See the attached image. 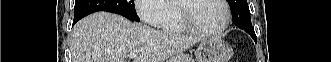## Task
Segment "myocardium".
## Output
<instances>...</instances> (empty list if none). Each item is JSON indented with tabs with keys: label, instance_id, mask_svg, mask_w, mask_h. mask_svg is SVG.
Returning a JSON list of instances; mask_svg holds the SVG:
<instances>
[{
	"label": "myocardium",
	"instance_id": "myocardium-1",
	"mask_svg": "<svg viewBox=\"0 0 331 62\" xmlns=\"http://www.w3.org/2000/svg\"><path fill=\"white\" fill-rule=\"evenodd\" d=\"M190 1H193V0H178L176 2L178 11H179L180 22L182 23V25L184 26V28L187 31L200 35V36L212 37V36H218V35L222 34L227 29L229 22H230V9L225 0H218V2L224 8L223 23L218 29L212 30V31L204 30V29L198 27L193 22V20L189 17V15L187 13V7H188V4Z\"/></svg>",
	"mask_w": 331,
	"mask_h": 62
}]
</instances>
